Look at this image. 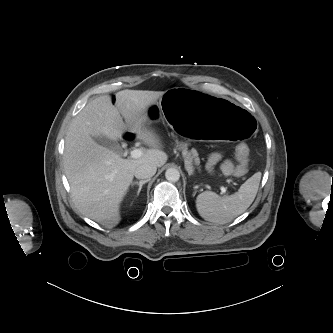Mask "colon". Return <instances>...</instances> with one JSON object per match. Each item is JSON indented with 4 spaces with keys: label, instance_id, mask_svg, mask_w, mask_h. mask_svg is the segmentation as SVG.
Listing matches in <instances>:
<instances>
[{
    "label": "colon",
    "instance_id": "5ec220e1",
    "mask_svg": "<svg viewBox=\"0 0 333 333\" xmlns=\"http://www.w3.org/2000/svg\"><path fill=\"white\" fill-rule=\"evenodd\" d=\"M236 156L238 159V165L235 169L237 176H243L247 172L249 149L246 144H239L236 148Z\"/></svg>",
    "mask_w": 333,
    "mask_h": 333
}]
</instances>
